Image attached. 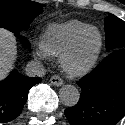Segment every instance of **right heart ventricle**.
<instances>
[{
    "label": "right heart ventricle",
    "mask_w": 125,
    "mask_h": 125,
    "mask_svg": "<svg viewBox=\"0 0 125 125\" xmlns=\"http://www.w3.org/2000/svg\"><path fill=\"white\" fill-rule=\"evenodd\" d=\"M89 26L91 25L75 19L54 22L46 27L42 39L52 56H60L71 39Z\"/></svg>",
    "instance_id": "obj_1"
}]
</instances>
